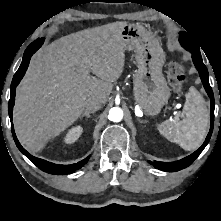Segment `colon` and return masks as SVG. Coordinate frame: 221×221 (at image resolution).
<instances>
[{"mask_svg":"<svg viewBox=\"0 0 221 221\" xmlns=\"http://www.w3.org/2000/svg\"><path fill=\"white\" fill-rule=\"evenodd\" d=\"M168 80L175 90H180L185 81V68L179 62H171L168 68Z\"/></svg>","mask_w":221,"mask_h":221,"instance_id":"1","label":"colon"}]
</instances>
